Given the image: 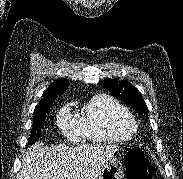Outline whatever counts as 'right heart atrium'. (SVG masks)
<instances>
[{
  "instance_id": "1",
  "label": "right heart atrium",
  "mask_w": 183,
  "mask_h": 179,
  "mask_svg": "<svg viewBox=\"0 0 183 179\" xmlns=\"http://www.w3.org/2000/svg\"><path fill=\"white\" fill-rule=\"evenodd\" d=\"M58 124L61 130L68 136L75 137L79 133V121L69 112L68 108H63L60 111Z\"/></svg>"
}]
</instances>
